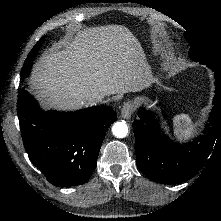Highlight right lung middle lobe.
<instances>
[{"mask_svg": "<svg viewBox=\"0 0 221 221\" xmlns=\"http://www.w3.org/2000/svg\"><path fill=\"white\" fill-rule=\"evenodd\" d=\"M42 42H43V38L37 42V44L34 46V48L29 53L26 61L24 62V65H23V68L21 71V77L23 79L26 78L29 75V73L31 72V66L33 64V59L36 57V54H37Z\"/></svg>", "mask_w": 221, "mask_h": 221, "instance_id": "1", "label": "right lung middle lobe"}]
</instances>
